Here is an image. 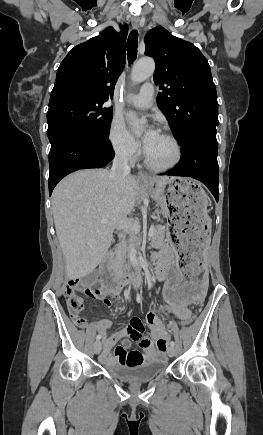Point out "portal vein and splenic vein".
Segmentation results:
<instances>
[{
    "label": "portal vein and splenic vein",
    "mask_w": 263,
    "mask_h": 435,
    "mask_svg": "<svg viewBox=\"0 0 263 435\" xmlns=\"http://www.w3.org/2000/svg\"><path fill=\"white\" fill-rule=\"evenodd\" d=\"M102 223H106L107 222V220L106 219H104V220H102L101 221ZM154 234V226L153 225H151V227L149 228V232H148V235H149V237H151L152 235Z\"/></svg>",
    "instance_id": "obj_1"
}]
</instances>
